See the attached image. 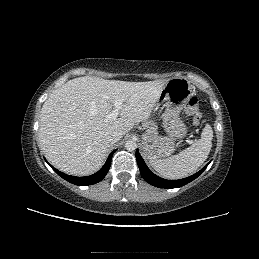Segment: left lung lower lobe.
Instances as JSON below:
<instances>
[{
  "label": "left lung lower lobe",
  "mask_w": 259,
  "mask_h": 259,
  "mask_svg": "<svg viewBox=\"0 0 259 259\" xmlns=\"http://www.w3.org/2000/svg\"><path fill=\"white\" fill-rule=\"evenodd\" d=\"M136 160H137L138 167L140 169V173L146 182H148L149 184H151L153 186H156L159 188H167V189L178 188V187L188 184L192 180L196 179L208 166V164H207L199 172H197L194 175L189 176L187 178L180 179V180H166L161 177H158L157 175H155L154 173H152L149 170V168L145 164L143 158L139 154L138 149L136 151Z\"/></svg>",
  "instance_id": "1"
}]
</instances>
